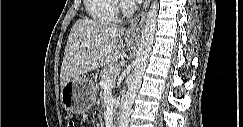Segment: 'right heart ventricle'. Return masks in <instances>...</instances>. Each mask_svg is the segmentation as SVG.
Returning <instances> with one entry per match:
<instances>
[{
    "label": "right heart ventricle",
    "instance_id": "e07e8e85",
    "mask_svg": "<svg viewBox=\"0 0 243 127\" xmlns=\"http://www.w3.org/2000/svg\"><path fill=\"white\" fill-rule=\"evenodd\" d=\"M87 15L95 22L109 23L117 19L116 0H86Z\"/></svg>",
    "mask_w": 243,
    "mask_h": 127
}]
</instances>
